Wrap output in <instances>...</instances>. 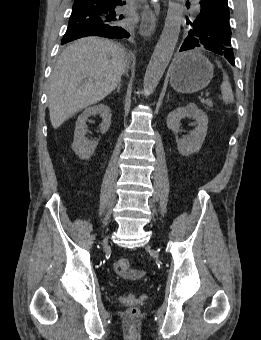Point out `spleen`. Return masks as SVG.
I'll return each instance as SVG.
<instances>
[{
  "label": "spleen",
  "instance_id": "obj_1",
  "mask_svg": "<svg viewBox=\"0 0 261 340\" xmlns=\"http://www.w3.org/2000/svg\"><path fill=\"white\" fill-rule=\"evenodd\" d=\"M221 93H222V101L225 104H229L233 102L234 96H233L231 85L227 77H224L223 82L221 84Z\"/></svg>",
  "mask_w": 261,
  "mask_h": 340
}]
</instances>
